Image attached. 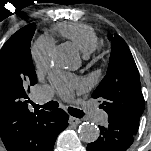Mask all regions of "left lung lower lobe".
Returning <instances> with one entry per match:
<instances>
[{"instance_id":"left-lung-lower-lobe-1","label":"left lung lower lobe","mask_w":151,"mask_h":151,"mask_svg":"<svg viewBox=\"0 0 151 151\" xmlns=\"http://www.w3.org/2000/svg\"><path fill=\"white\" fill-rule=\"evenodd\" d=\"M100 136L87 146L88 151H126L133 142L132 134L109 122L106 127L99 126Z\"/></svg>"}]
</instances>
